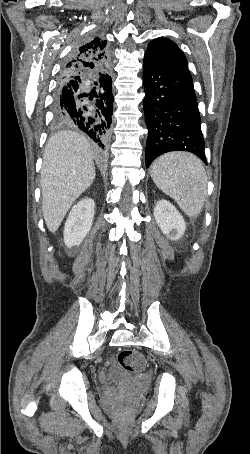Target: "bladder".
Returning <instances> with one entry per match:
<instances>
[{
	"label": "bladder",
	"mask_w": 250,
	"mask_h": 454,
	"mask_svg": "<svg viewBox=\"0 0 250 454\" xmlns=\"http://www.w3.org/2000/svg\"><path fill=\"white\" fill-rule=\"evenodd\" d=\"M110 377L113 381H129L131 377L127 376L124 372L119 369L113 368L110 371Z\"/></svg>",
	"instance_id": "bladder-1"
}]
</instances>
